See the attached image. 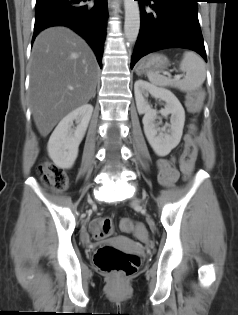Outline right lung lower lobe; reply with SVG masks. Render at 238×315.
I'll list each match as a JSON object with an SVG mask.
<instances>
[{"label": "right lung lower lobe", "instance_id": "right-lung-lower-lobe-1", "mask_svg": "<svg viewBox=\"0 0 238 315\" xmlns=\"http://www.w3.org/2000/svg\"><path fill=\"white\" fill-rule=\"evenodd\" d=\"M36 0L32 42L39 32L51 26H67L82 36L93 49L100 67L108 17L107 0Z\"/></svg>", "mask_w": 238, "mask_h": 315}]
</instances>
